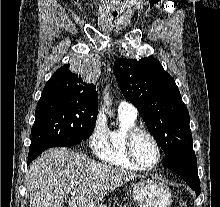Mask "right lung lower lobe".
<instances>
[{"label": "right lung lower lobe", "instance_id": "right-lung-lower-lobe-1", "mask_svg": "<svg viewBox=\"0 0 220 207\" xmlns=\"http://www.w3.org/2000/svg\"><path fill=\"white\" fill-rule=\"evenodd\" d=\"M39 154L38 153H33V152H30L29 155H28V163L27 165H29V163L34 160Z\"/></svg>", "mask_w": 220, "mask_h": 207}]
</instances>
